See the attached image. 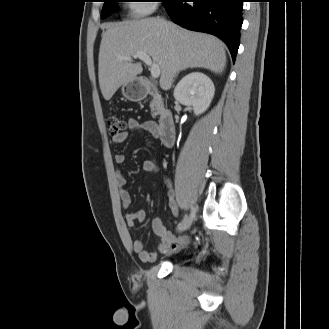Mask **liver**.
<instances>
[{
  "mask_svg": "<svg viewBox=\"0 0 329 329\" xmlns=\"http://www.w3.org/2000/svg\"><path fill=\"white\" fill-rule=\"evenodd\" d=\"M137 52L146 53L159 65L163 90L171 88L180 70L205 68L219 74L226 66L224 44L211 35L188 31L159 18L110 23L102 34L98 65L105 100L142 73L141 63L124 59Z\"/></svg>",
  "mask_w": 329,
  "mask_h": 329,
  "instance_id": "1",
  "label": "liver"
}]
</instances>
